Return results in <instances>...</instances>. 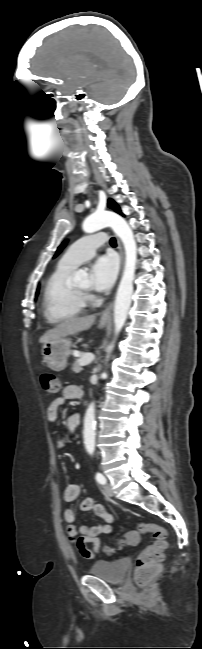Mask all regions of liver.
Listing matches in <instances>:
<instances>
[{
	"label": "liver",
	"mask_w": 202,
	"mask_h": 649,
	"mask_svg": "<svg viewBox=\"0 0 202 649\" xmlns=\"http://www.w3.org/2000/svg\"><path fill=\"white\" fill-rule=\"evenodd\" d=\"M94 321V315L67 319L55 326L53 329L48 330L43 336L40 337L39 342L41 344H44L51 340H56L67 335L87 330L93 325Z\"/></svg>",
	"instance_id": "6515ba94"
}]
</instances>
